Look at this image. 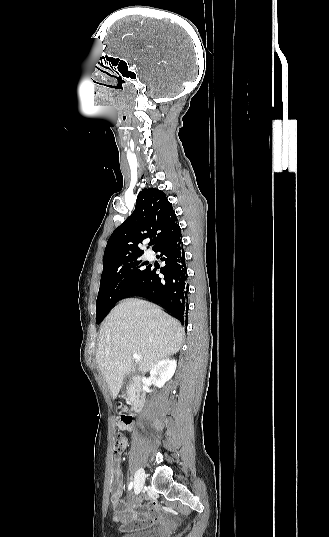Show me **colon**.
<instances>
[{
  "instance_id": "1",
  "label": "colon",
  "mask_w": 329,
  "mask_h": 537,
  "mask_svg": "<svg viewBox=\"0 0 329 537\" xmlns=\"http://www.w3.org/2000/svg\"><path fill=\"white\" fill-rule=\"evenodd\" d=\"M119 418L122 423L129 424L132 421V417L128 414V410L126 408H122L119 412ZM128 444V437L126 434L122 432H117L114 436V442H113V451L116 454L122 453Z\"/></svg>"
}]
</instances>
